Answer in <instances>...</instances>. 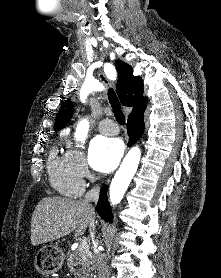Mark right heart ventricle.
Wrapping results in <instances>:
<instances>
[{
  "mask_svg": "<svg viewBox=\"0 0 221 278\" xmlns=\"http://www.w3.org/2000/svg\"><path fill=\"white\" fill-rule=\"evenodd\" d=\"M48 173L54 188L62 195L77 197L84 189L82 179L75 172L67 153L54 148L48 160Z\"/></svg>",
  "mask_w": 221,
  "mask_h": 278,
  "instance_id": "e07e8e85",
  "label": "right heart ventricle"
}]
</instances>
